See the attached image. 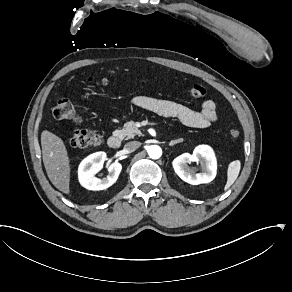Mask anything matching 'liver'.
I'll use <instances>...</instances> for the list:
<instances>
[{"mask_svg": "<svg viewBox=\"0 0 292 292\" xmlns=\"http://www.w3.org/2000/svg\"><path fill=\"white\" fill-rule=\"evenodd\" d=\"M42 157L48 177L53 185L69 194L70 167L65 145L61 138L44 130L41 133Z\"/></svg>", "mask_w": 292, "mask_h": 292, "instance_id": "1", "label": "liver"}]
</instances>
